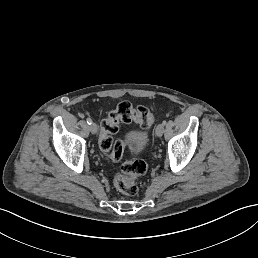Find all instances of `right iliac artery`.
Masks as SVG:
<instances>
[{"instance_id":"1","label":"right iliac artery","mask_w":258,"mask_h":258,"mask_svg":"<svg viewBox=\"0 0 258 258\" xmlns=\"http://www.w3.org/2000/svg\"><path fill=\"white\" fill-rule=\"evenodd\" d=\"M86 121H87V124H88V125H91V124H92V119H91V118H87Z\"/></svg>"}]
</instances>
